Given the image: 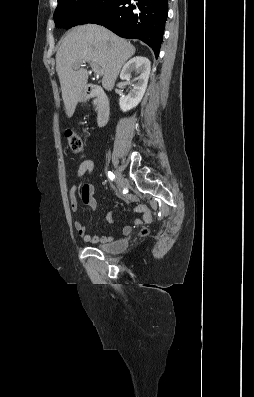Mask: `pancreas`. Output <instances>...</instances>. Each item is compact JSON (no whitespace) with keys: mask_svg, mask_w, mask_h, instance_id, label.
Returning <instances> with one entry per match:
<instances>
[{"mask_svg":"<svg viewBox=\"0 0 254 397\" xmlns=\"http://www.w3.org/2000/svg\"><path fill=\"white\" fill-rule=\"evenodd\" d=\"M93 103H94V105H96L97 104V100L95 99Z\"/></svg>","mask_w":254,"mask_h":397,"instance_id":"cf45deb5","label":"pancreas"}]
</instances>
